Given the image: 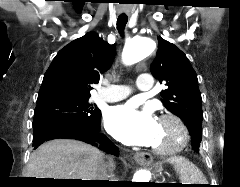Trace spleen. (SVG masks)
I'll list each match as a JSON object with an SVG mask.
<instances>
[{"label":"spleen","instance_id":"3e777b00","mask_svg":"<svg viewBox=\"0 0 240 187\" xmlns=\"http://www.w3.org/2000/svg\"><path fill=\"white\" fill-rule=\"evenodd\" d=\"M173 164L179 174L181 182L184 184H206L203 173L192 162L181 156H174L167 160Z\"/></svg>","mask_w":240,"mask_h":187}]
</instances>
